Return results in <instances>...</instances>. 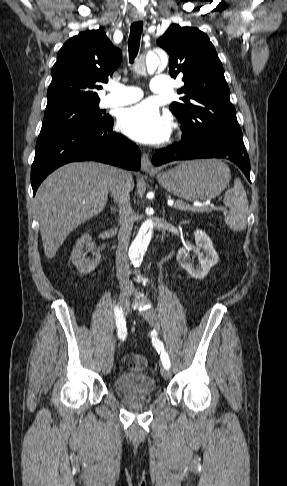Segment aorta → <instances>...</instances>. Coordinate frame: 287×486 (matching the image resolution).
<instances>
[{
  "label": "aorta",
  "mask_w": 287,
  "mask_h": 486,
  "mask_svg": "<svg viewBox=\"0 0 287 486\" xmlns=\"http://www.w3.org/2000/svg\"><path fill=\"white\" fill-rule=\"evenodd\" d=\"M167 57H159L149 54L146 58V67L149 72L155 71L160 66H166ZM153 236V224L146 220L140 227L135 239L129 248V258L134 264H139Z\"/></svg>",
  "instance_id": "obj_1"
}]
</instances>
